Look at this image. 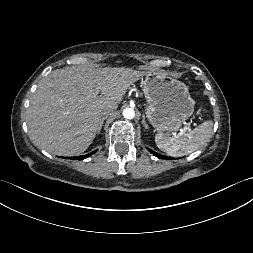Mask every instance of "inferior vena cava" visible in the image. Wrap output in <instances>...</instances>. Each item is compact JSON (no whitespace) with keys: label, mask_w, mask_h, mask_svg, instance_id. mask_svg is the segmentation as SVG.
<instances>
[{"label":"inferior vena cava","mask_w":253,"mask_h":253,"mask_svg":"<svg viewBox=\"0 0 253 253\" xmlns=\"http://www.w3.org/2000/svg\"><path fill=\"white\" fill-rule=\"evenodd\" d=\"M117 108V105L115 104H111V105H108L106 106L103 110H102V114L104 116H108L109 114H111L114 110H116Z\"/></svg>","instance_id":"obj_1"}]
</instances>
